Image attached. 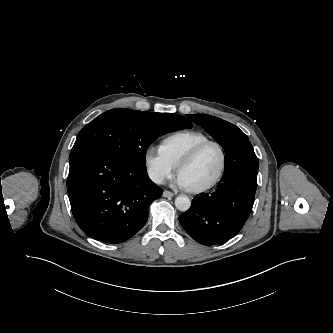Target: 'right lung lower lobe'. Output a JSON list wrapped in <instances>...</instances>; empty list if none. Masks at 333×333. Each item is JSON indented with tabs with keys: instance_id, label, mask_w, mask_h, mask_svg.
I'll return each instance as SVG.
<instances>
[{
	"instance_id": "right-lung-lower-lobe-1",
	"label": "right lung lower lobe",
	"mask_w": 333,
	"mask_h": 333,
	"mask_svg": "<svg viewBox=\"0 0 333 333\" xmlns=\"http://www.w3.org/2000/svg\"><path fill=\"white\" fill-rule=\"evenodd\" d=\"M69 162L67 189L73 216L88 236L99 241L121 243L131 238L146 223L150 203L163 193L146 168L93 145L73 147Z\"/></svg>"
}]
</instances>
